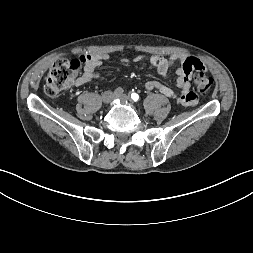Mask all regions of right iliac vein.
Wrapping results in <instances>:
<instances>
[{
	"label": "right iliac vein",
	"mask_w": 253,
	"mask_h": 253,
	"mask_svg": "<svg viewBox=\"0 0 253 253\" xmlns=\"http://www.w3.org/2000/svg\"><path fill=\"white\" fill-rule=\"evenodd\" d=\"M113 97L114 94L111 91H106L102 94L101 99L104 104H108L112 101Z\"/></svg>",
	"instance_id": "1"
}]
</instances>
